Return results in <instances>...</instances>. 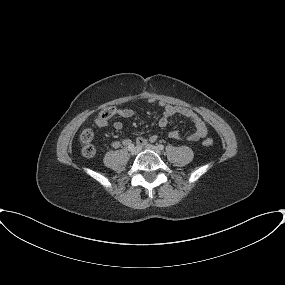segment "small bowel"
<instances>
[{
  "instance_id": "obj_1",
  "label": "small bowel",
  "mask_w": 285,
  "mask_h": 285,
  "mask_svg": "<svg viewBox=\"0 0 285 285\" xmlns=\"http://www.w3.org/2000/svg\"><path fill=\"white\" fill-rule=\"evenodd\" d=\"M147 101L150 103L158 105L162 109V117L158 121V125L162 128L168 126L170 124V118L175 116V115H179V116H182L184 118H187L193 123V125L195 127V131L192 134L185 135V134L180 133L179 131H171L169 133V137L171 139L178 140V141L187 140V141H191V142H196V141H200V140L204 139L207 136V133H208L207 124L203 120V118L198 113H196L195 111H193L189 108H186V107L176 106V105L167 103V102H165L161 99L155 98V97H148ZM116 113L123 118H130L135 114L134 110L131 108H117ZM106 124H107V120L105 118H103L102 116H99L94 120V125L96 127L102 128V127L106 126ZM113 127L116 130H121L123 127V124L120 121H115L113 123ZM156 139H157V136L152 135L149 138V141L155 142ZM129 142H130V140H128V139H125L122 141H114L112 143V146L115 148H118L120 146H127V144ZM147 142H148V140L142 136H138L136 138L137 145H139L141 147L145 146Z\"/></svg>"
}]
</instances>
